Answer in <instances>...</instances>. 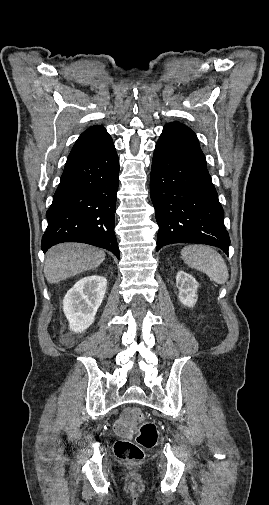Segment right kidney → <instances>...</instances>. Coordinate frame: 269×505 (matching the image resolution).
Masks as SVG:
<instances>
[{"label": "right kidney", "mask_w": 269, "mask_h": 505, "mask_svg": "<svg viewBox=\"0 0 269 505\" xmlns=\"http://www.w3.org/2000/svg\"><path fill=\"white\" fill-rule=\"evenodd\" d=\"M107 280L99 275L87 276L75 283L63 300V311L70 330L85 331L95 320V315L106 293Z\"/></svg>", "instance_id": "1"}]
</instances>
